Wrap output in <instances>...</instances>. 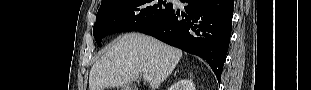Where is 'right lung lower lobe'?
Segmentation results:
<instances>
[{"label": "right lung lower lobe", "instance_id": "1", "mask_svg": "<svg viewBox=\"0 0 311 90\" xmlns=\"http://www.w3.org/2000/svg\"><path fill=\"white\" fill-rule=\"evenodd\" d=\"M185 12L173 8L156 23L138 31L204 58L218 81L231 36L234 0H181Z\"/></svg>", "mask_w": 311, "mask_h": 90}]
</instances>
